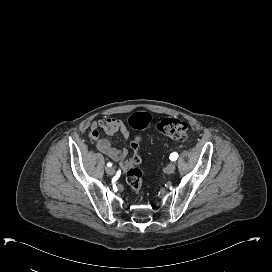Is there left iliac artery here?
<instances>
[{
	"label": "left iliac artery",
	"instance_id": "1",
	"mask_svg": "<svg viewBox=\"0 0 272 272\" xmlns=\"http://www.w3.org/2000/svg\"><path fill=\"white\" fill-rule=\"evenodd\" d=\"M177 158H178V153L173 152V153L170 154V160L171 161H175V160H177Z\"/></svg>",
	"mask_w": 272,
	"mask_h": 272
}]
</instances>
